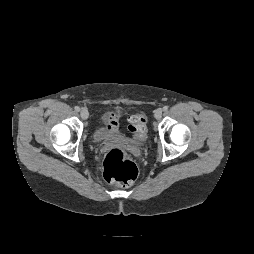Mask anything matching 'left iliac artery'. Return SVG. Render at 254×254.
Masks as SVG:
<instances>
[{
	"label": "left iliac artery",
	"mask_w": 254,
	"mask_h": 254,
	"mask_svg": "<svg viewBox=\"0 0 254 254\" xmlns=\"http://www.w3.org/2000/svg\"><path fill=\"white\" fill-rule=\"evenodd\" d=\"M163 110H164V111H167V110H168V106H164V107H163Z\"/></svg>",
	"instance_id": "1"
}]
</instances>
